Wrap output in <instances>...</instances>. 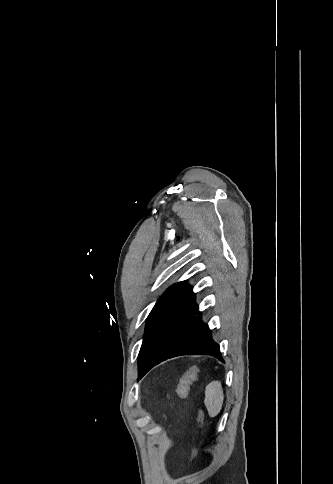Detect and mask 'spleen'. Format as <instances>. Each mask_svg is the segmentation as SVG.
Wrapping results in <instances>:
<instances>
[{
  "mask_svg": "<svg viewBox=\"0 0 333 484\" xmlns=\"http://www.w3.org/2000/svg\"><path fill=\"white\" fill-rule=\"evenodd\" d=\"M224 395L219 381L209 383L205 388L204 404L210 417H216L223 405Z\"/></svg>",
  "mask_w": 333,
  "mask_h": 484,
  "instance_id": "3e777b00",
  "label": "spleen"
}]
</instances>
